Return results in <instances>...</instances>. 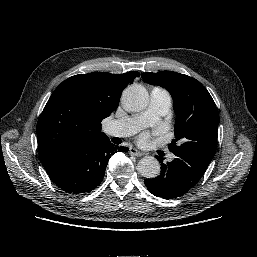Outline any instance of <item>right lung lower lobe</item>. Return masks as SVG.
<instances>
[{"mask_svg":"<svg viewBox=\"0 0 257 257\" xmlns=\"http://www.w3.org/2000/svg\"><path fill=\"white\" fill-rule=\"evenodd\" d=\"M127 147L114 146L108 137L66 148L42 162L51 180L68 193H86L103 180L109 158Z\"/></svg>","mask_w":257,"mask_h":257,"instance_id":"98d812e1","label":"right lung lower lobe"}]
</instances>
